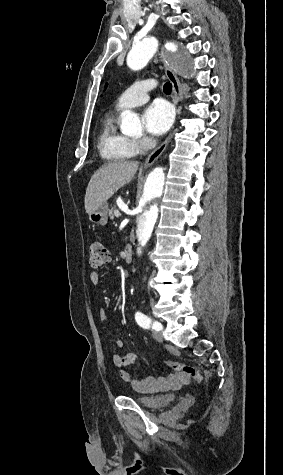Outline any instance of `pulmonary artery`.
<instances>
[{"label":"pulmonary artery","mask_w":283,"mask_h":475,"mask_svg":"<svg viewBox=\"0 0 283 475\" xmlns=\"http://www.w3.org/2000/svg\"><path fill=\"white\" fill-rule=\"evenodd\" d=\"M154 82L149 80H138L129 86L117 99L115 107L117 109H125L136 106L150 100L152 93L146 89L153 88Z\"/></svg>","instance_id":"e3ab8cb5"}]
</instances>
